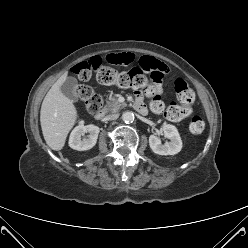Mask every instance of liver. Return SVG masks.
Instances as JSON below:
<instances>
[{
  "label": "liver",
  "instance_id": "obj_1",
  "mask_svg": "<svg viewBox=\"0 0 248 248\" xmlns=\"http://www.w3.org/2000/svg\"><path fill=\"white\" fill-rule=\"evenodd\" d=\"M66 79L67 72L52 85L42 102L40 111L44 139L47 145L55 151L64 147L67 135L78 117L73 102L60 90V86Z\"/></svg>",
  "mask_w": 248,
  "mask_h": 248
}]
</instances>
